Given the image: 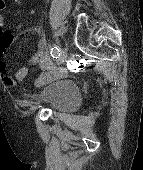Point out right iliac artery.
Segmentation results:
<instances>
[{"label": "right iliac artery", "mask_w": 143, "mask_h": 170, "mask_svg": "<svg viewBox=\"0 0 143 170\" xmlns=\"http://www.w3.org/2000/svg\"><path fill=\"white\" fill-rule=\"evenodd\" d=\"M50 54H51L52 58H54V59L59 58L60 54H61L60 53V48L57 47V46L52 47L51 51H50Z\"/></svg>", "instance_id": "right-iliac-artery-1"}]
</instances>
